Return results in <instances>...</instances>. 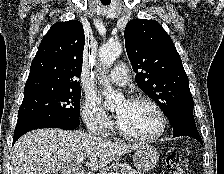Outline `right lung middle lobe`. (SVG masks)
I'll use <instances>...</instances> for the list:
<instances>
[{"instance_id":"1","label":"right lung middle lobe","mask_w":224,"mask_h":174,"mask_svg":"<svg viewBox=\"0 0 224 174\" xmlns=\"http://www.w3.org/2000/svg\"><path fill=\"white\" fill-rule=\"evenodd\" d=\"M80 98V88L49 89L24 94L18 120L24 118L57 122L79 120Z\"/></svg>"}]
</instances>
